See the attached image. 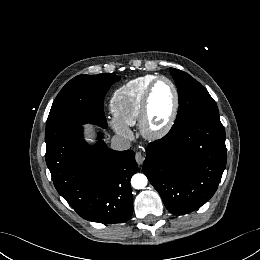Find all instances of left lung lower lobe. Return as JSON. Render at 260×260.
Segmentation results:
<instances>
[{
    "label": "left lung lower lobe",
    "mask_w": 260,
    "mask_h": 260,
    "mask_svg": "<svg viewBox=\"0 0 260 260\" xmlns=\"http://www.w3.org/2000/svg\"><path fill=\"white\" fill-rule=\"evenodd\" d=\"M143 171L175 215L190 213L217 190L226 166L225 130L219 113L193 116L149 143Z\"/></svg>",
    "instance_id": "1"
}]
</instances>
